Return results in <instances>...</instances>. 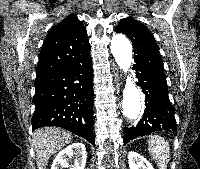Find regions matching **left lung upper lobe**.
Wrapping results in <instances>:
<instances>
[{"label":"left lung upper lobe","instance_id":"1","mask_svg":"<svg viewBox=\"0 0 200 169\" xmlns=\"http://www.w3.org/2000/svg\"><path fill=\"white\" fill-rule=\"evenodd\" d=\"M115 31L126 34L132 41L136 64L151 66L164 74L158 46L153 35L144 24L128 17L119 22Z\"/></svg>","mask_w":200,"mask_h":169}]
</instances>
